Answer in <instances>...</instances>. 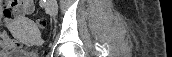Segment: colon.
<instances>
[{
    "label": "colon",
    "mask_w": 172,
    "mask_h": 57,
    "mask_svg": "<svg viewBox=\"0 0 172 57\" xmlns=\"http://www.w3.org/2000/svg\"><path fill=\"white\" fill-rule=\"evenodd\" d=\"M2 15L5 19L7 20H10L14 17L15 15V12L12 11V9L8 8V7H5L2 11ZM37 25L40 27V28H45L46 25H47V22L46 20L44 19H38L37 20Z\"/></svg>",
    "instance_id": "obj_1"
}]
</instances>
